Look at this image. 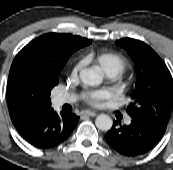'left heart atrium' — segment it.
Returning <instances> with one entry per match:
<instances>
[{
  "label": "left heart atrium",
  "mask_w": 173,
  "mask_h": 170,
  "mask_svg": "<svg viewBox=\"0 0 173 170\" xmlns=\"http://www.w3.org/2000/svg\"><path fill=\"white\" fill-rule=\"evenodd\" d=\"M105 96H106L105 91H98L91 95L90 100L93 104H98Z\"/></svg>",
  "instance_id": "39dd6f15"
}]
</instances>
